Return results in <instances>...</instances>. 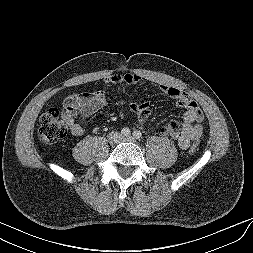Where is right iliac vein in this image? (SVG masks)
I'll return each mask as SVG.
<instances>
[{
    "label": "right iliac vein",
    "instance_id": "right-iliac-vein-1",
    "mask_svg": "<svg viewBox=\"0 0 253 253\" xmlns=\"http://www.w3.org/2000/svg\"><path fill=\"white\" fill-rule=\"evenodd\" d=\"M109 141L111 144H117L119 142L118 134H113L112 136H110Z\"/></svg>",
    "mask_w": 253,
    "mask_h": 253
}]
</instances>
